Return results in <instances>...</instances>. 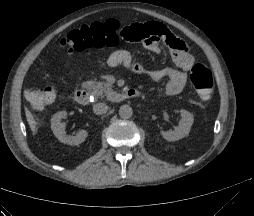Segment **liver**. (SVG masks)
I'll list each match as a JSON object with an SVG mask.
<instances>
[{
  "label": "liver",
  "mask_w": 254,
  "mask_h": 216,
  "mask_svg": "<svg viewBox=\"0 0 254 216\" xmlns=\"http://www.w3.org/2000/svg\"><path fill=\"white\" fill-rule=\"evenodd\" d=\"M25 114H26V119H27V122L30 126L31 131L33 132V134H36V131H37L36 125H37V123H36L33 115L31 114V112L29 110H26Z\"/></svg>",
  "instance_id": "liver-1"
}]
</instances>
